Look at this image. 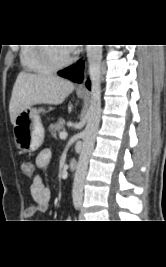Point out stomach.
I'll use <instances>...</instances> for the list:
<instances>
[{"label": "stomach", "mask_w": 166, "mask_h": 267, "mask_svg": "<svg viewBox=\"0 0 166 267\" xmlns=\"http://www.w3.org/2000/svg\"><path fill=\"white\" fill-rule=\"evenodd\" d=\"M83 97L82 93H78ZM43 108H28L18 114L13 124V135L16 145L23 152L37 150L44 140V128L41 123L40 113Z\"/></svg>", "instance_id": "0dacf381"}]
</instances>
